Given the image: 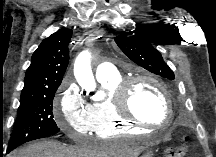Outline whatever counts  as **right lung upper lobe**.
Returning a JSON list of instances; mask_svg holds the SVG:
<instances>
[{
    "label": "right lung upper lobe",
    "mask_w": 216,
    "mask_h": 157,
    "mask_svg": "<svg viewBox=\"0 0 216 157\" xmlns=\"http://www.w3.org/2000/svg\"><path fill=\"white\" fill-rule=\"evenodd\" d=\"M71 36V29L62 28L43 40L32 55L21 98L59 87L69 62L68 44Z\"/></svg>",
    "instance_id": "obj_1"
}]
</instances>
